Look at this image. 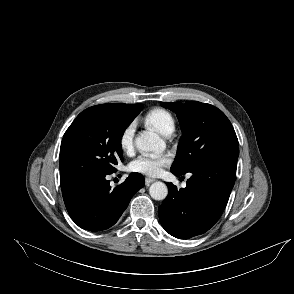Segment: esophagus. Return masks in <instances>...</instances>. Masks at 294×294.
Segmentation results:
<instances>
[{
	"label": "esophagus",
	"mask_w": 294,
	"mask_h": 294,
	"mask_svg": "<svg viewBox=\"0 0 294 294\" xmlns=\"http://www.w3.org/2000/svg\"><path fill=\"white\" fill-rule=\"evenodd\" d=\"M155 181V179L153 178H149V177H146L145 178V184L146 185H150L151 183H153Z\"/></svg>",
	"instance_id": "esophagus-1"
}]
</instances>
